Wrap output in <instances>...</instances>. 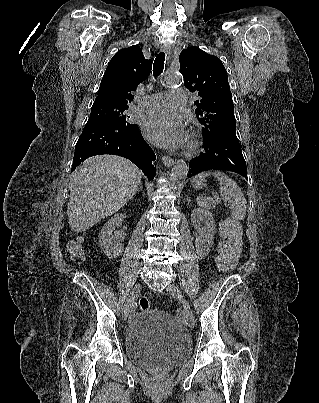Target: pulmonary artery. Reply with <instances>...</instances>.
I'll return each mask as SVG.
<instances>
[{"label": "pulmonary artery", "instance_id": "1", "mask_svg": "<svg viewBox=\"0 0 319 403\" xmlns=\"http://www.w3.org/2000/svg\"><path fill=\"white\" fill-rule=\"evenodd\" d=\"M185 105L186 92L182 89H174L164 93L148 95L138 107L144 111H163L170 107H184Z\"/></svg>", "mask_w": 319, "mask_h": 403}]
</instances>
